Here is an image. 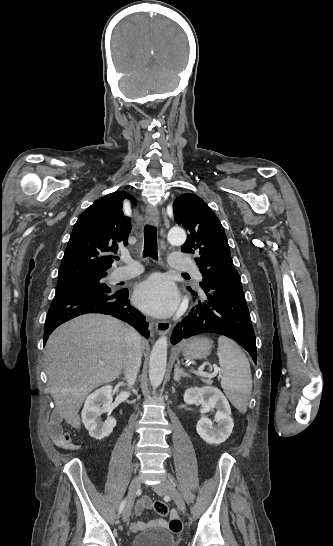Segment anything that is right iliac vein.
Listing matches in <instances>:
<instances>
[{
  "mask_svg": "<svg viewBox=\"0 0 333 546\" xmlns=\"http://www.w3.org/2000/svg\"><path fill=\"white\" fill-rule=\"evenodd\" d=\"M140 486H141V478L137 476L131 481L129 486L128 500L125 504L123 515H122V519L124 522H127L129 520L131 509H132L133 498L136 492L139 490Z\"/></svg>",
  "mask_w": 333,
  "mask_h": 546,
  "instance_id": "right-iliac-vein-1",
  "label": "right iliac vein"
}]
</instances>
